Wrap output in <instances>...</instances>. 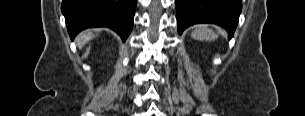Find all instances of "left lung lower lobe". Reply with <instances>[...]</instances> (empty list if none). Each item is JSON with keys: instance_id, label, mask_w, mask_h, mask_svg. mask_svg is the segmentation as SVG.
<instances>
[{"instance_id": "obj_1", "label": "left lung lower lobe", "mask_w": 305, "mask_h": 116, "mask_svg": "<svg viewBox=\"0 0 305 116\" xmlns=\"http://www.w3.org/2000/svg\"><path fill=\"white\" fill-rule=\"evenodd\" d=\"M241 0H176L178 31L196 23L222 26L232 37L239 21Z\"/></svg>"}]
</instances>
